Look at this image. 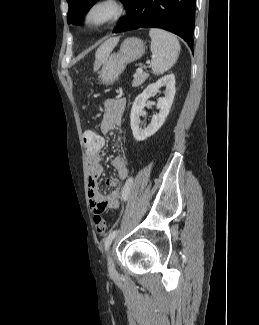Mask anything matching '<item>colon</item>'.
I'll use <instances>...</instances> for the list:
<instances>
[{"mask_svg":"<svg viewBox=\"0 0 259 325\" xmlns=\"http://www.w3.org/2000/svg\"><path fill=\"white\" fill-rule=\"evenodd\" d=\"M84 144L87 149H102L103 139L99 138L95 132L88 130L84 133ZM93 224L96 232L99 235H105L106 233V222L100 215H95L93 218Z\"/></svg>","mask_w":259,"mask_h":325,"instance_id":"5ec220e1","label":"colon"}]
</instances>
